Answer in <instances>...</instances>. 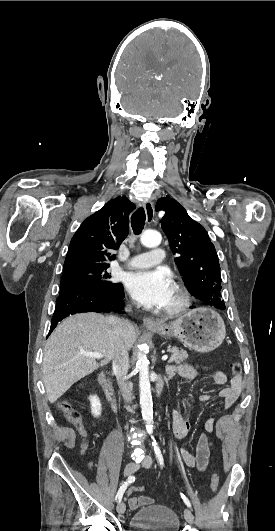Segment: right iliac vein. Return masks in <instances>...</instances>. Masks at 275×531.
Here are the masks:
<instances>
[{"mask_svg": "<svg viewBox=\"0 0 275 531\" xmlns=\"http://www.w3.org/2000/svg\"><path fill=\"white\" fill-rule=\"evenodd\" d=\"M137 470V465L134 463V462H129L125 469H124V475L125 476H130L132 475L135 471ZM125 510H126V506L123 502H119L118 505H117V512L119 515H123L125 513Z\"/></svg>", "mask_w": 275, "mask_h": 531, "instance_id": "63e3f726", "label": "right iliac vein"}]
</instances>
